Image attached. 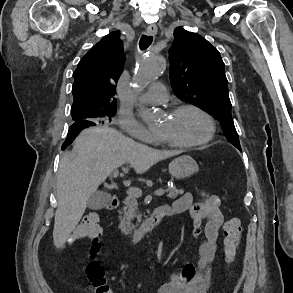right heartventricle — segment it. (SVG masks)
Segmentation results:
<instances>
[{
  "mask_svg": "<svg viewBox=\"0 0 293 293\" xmlns=\"http://www.w3.org/2000/svg\"><path fill=\"white\" fill-rule=\"evenodd\" d=\"M156 142H158V143H159V142H161V141L158 139ZM161 143H162V142H161Z\"/></svg>",
  "mask_w": 293,
  "mask_h": 293,
  "instance_id": "e07e8e85",
  "label": "right heart ventricle"
}]
</instances>
